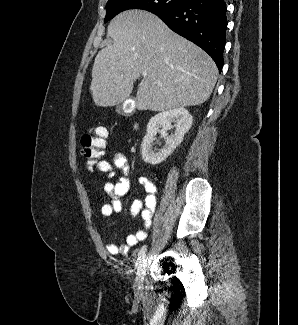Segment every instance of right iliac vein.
I'll return each mask as SVG.
<instances>
[{
	"label": "right iliac vein",
	"instance_id": "right-iliac-vein-1",
	"mask_svg": "<svg viewBox=\"0 0 298 325\" xmlns=\"http://www.w3.org/2000/svg\"><path fill=\"white\" fill-rule=\"evenodd\" d=\"M146 266H147V256L145 254L142 257V260L140 261V264L138 266L137 275L134 283V289L138 294L141 293L143 290V281H144Z\"/></svg>",
	"mask_w": 298,
	"mask_h": 325
}]
</instances>
